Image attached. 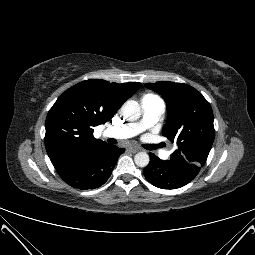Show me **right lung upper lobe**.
<instances>
[{"instance_id": "cb5924a9", "label": "right lung upper lobe", "mask_w": 255, "mask_h": 255, "mask_svg": "<svg viewBox=\"0 0 255 255\" xmlns=\"http://www.w3.org/2000/svg\"><path fill=\"white\" fill-rule=\"evenodd\" d=\"M141 86L138 82L110 83L91 79L66 90L46 118V151L54 167L100 147L93 128L111 121L115 112Z\"/></svg>"}]
</instances>
